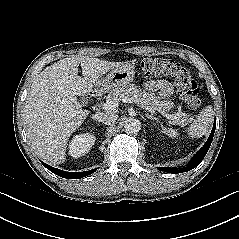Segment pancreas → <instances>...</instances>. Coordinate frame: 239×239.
<instances>
[{
  "label": "pancreas",
  "mask_w": 239,
  "mask_h": 239,
  "mask_svg": "<svg viewBox=\"0 0 239 239\" xmlns=\"http://www.w3.org/2000/svg\"><path fill=\"white\" fill-rule=\"evenodd\" d=\"M124 97L131 98L137 105L141 107H148L154 110L159 109L165 112L173 107V102L170 100H161L153 94H150L144 90H139L134 84H129L110 90L106 99L119 103ZM174 116H176L177 119H174L172 122L179 126H185L188 122H190V119L185 113L177 112L174 114Z\"/></svg>",
  "instance_id": "cf45deb5"
}]
</instances>
